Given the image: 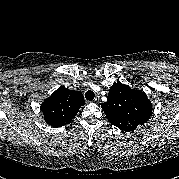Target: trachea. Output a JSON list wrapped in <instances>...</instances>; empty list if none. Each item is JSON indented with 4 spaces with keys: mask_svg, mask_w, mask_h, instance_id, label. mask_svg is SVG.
<instances>
[{
    "mask_svg": "<svg viewBox=\"0 0 179 179\" xmlns=\"http://www.w3.org/2000/svg\"><path fill=\"white\" fill-rule=\"evenodd\" d=\"M95 97V94L93 91L91 90H88L86 93H85V98L89 101H92Z\"/></svg>",
    "mask_w": 179,
    "mask_h": 179,
    "instance_id": "trachea-1",
    "label": "trachea"
}]
</instances>
